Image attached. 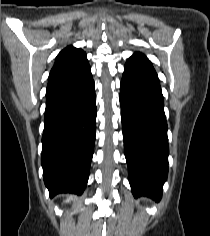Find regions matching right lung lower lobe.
I'll list each match as a JSON object with an SVG mask.
<instances>
[{"label":"right lung lower lobe","instance_id":"obj_1","mask_svg":"<svg viewBox=\"0 0 210 236\" xmlns=\"http://www.w3.org/2000/svg\"><path fill=\"white\" fill-rule=\"evenodd\" d=\"M95 128L96 97L89 63L50 78L41 157L50 196L83 193L93 157Z\"/></svg>","mask_w":210,"mask_h":236}]
</instances>
